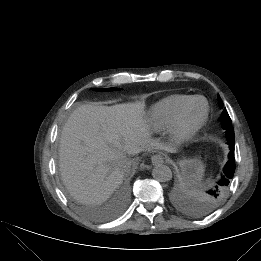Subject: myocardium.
Listing matches in <instances>:
<instances>
[{"mask_svg": "<svg viewBox=\"0 0 261 261\" xmlns=\"http://www.w3.org/2000/svg\"><path fill=\"white\" fill-rule=\"evenodd\" d=\"M197 100H202L205 104L204 112L201 118L192 126H186L184 123V117L191 106V104ZM210 114V106L206 98L203 96H193L179 109L174 121L169 127V134L171 140L175 144H184L190 142L200 132L203 126L206 124Z\"/></svg>", "mask_w": 261, "mask_h": 261, "instance_id": "obj_1", "label": "myocardium"}]
</instances>
